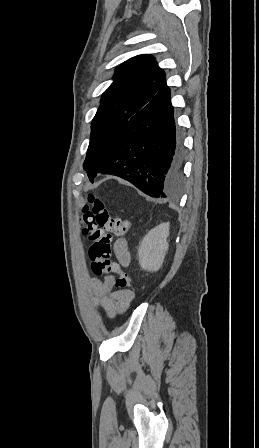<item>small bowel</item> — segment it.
<instances>
[{
    "label": "small bowel",
    "instance_id": "small-bowel-1",
    "mask_svg": "<svg viewBox=\"0 0 259 448\" xmlns=\"http://www.w3.org/2000/svg\"><path fill=\"white\" fill-rule=\"evenodd\" d=\"M113 251L120 266H129L131 254L125 238H119L114 242ZM114 283L115 279L111 274L106 275L104 280L91 279V287L96 296L95 304L102 307L110 319H114L117 315L123 313L133 299L131 291H112Z\"/></svg>",
    "mask_w": 259,
    "mask_h": 448
}]
</instances>
